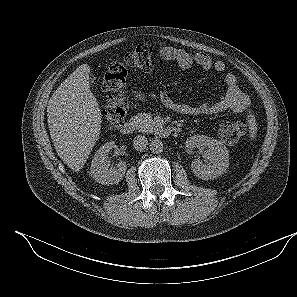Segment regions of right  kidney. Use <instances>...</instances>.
I'll return each mask as SVG.
<instances>
[{
  "mask_svg": "<svg viewBox=\"0 0 297 297\" xmlns=\"http://www.w3.org/2000/svg\"><path fill=\"white\" fill-rule=\"evenodd\" d=\"M115 147V142L110 141L101 146L91 162L90 174L93 179L101 184L113 185L118 183L126 172V162L120 161L116 167L111 166L108 154Z\"/></svg>",
  "mask_w": 297,
  "mask_h": 297,
  "instance_id": "ca27d5eb",
  "label": "right kidney"
}]
</instances>
